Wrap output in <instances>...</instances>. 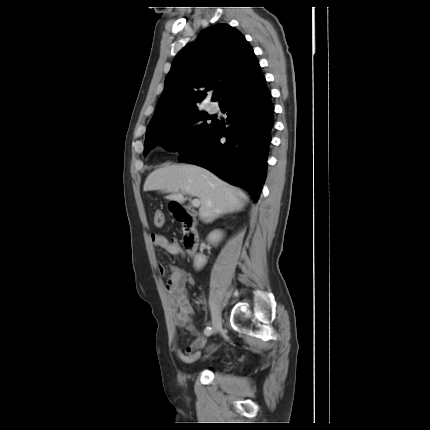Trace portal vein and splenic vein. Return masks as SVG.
Masks as SVG:
<instances>
[{
	"instance_id": "1",
	"label": "portal vein and splenic vein",
	"mask_w": 430,
	"mask_h": 430,
	"mask_svg": "<svg viewBox=\"0 0 430 430\" xmlns=\"http://www.w3.org/2000/svg\"><path fill=\"white\" fill-rule=\"evenodd\" d=\"M192 205L194 207H199L200 206V200L199 199H193L192 200Z\"/></svg>"
}]
</instances>
